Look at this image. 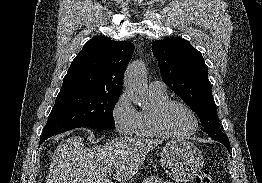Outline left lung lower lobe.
<instances>
[{
  "label": "left lung lower lobe",
  "mask_w": 262,
  "mask_h": 183,
  "mask_svg": "<svg viewBox=\"0 0 262 183\" xmlns=\"http://www.w3.org/2000/svg\"><path fill=\"white\" fill-rule=\"evenodd\" d=\"M217 141H219L222 144H224L227 147V149L230 151V143H229L228 139H222V140H217Z\"/></svg>",
  "instance_id": "left-lung-lower-lobe-1"
}]
</instances>
